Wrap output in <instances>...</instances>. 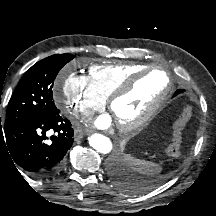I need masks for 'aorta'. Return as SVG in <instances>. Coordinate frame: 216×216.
<instances>
[{
	"label": "aorta",
	"mask_w": 216,
	"mask_h": 216,
	"mask_svg": "<svg viewBox=\"0 0 216 216\" xmlns=\"http://www.w3.org/2000/svg\"><path fill=\"white\" fill-rule=\"evenodd\" d=\"M89 144L101 154H108L113 148L111 140L108 137L98 133H95L89 137Z\"/></svg>",
	"instance_id": "1"
}]
</instances>
